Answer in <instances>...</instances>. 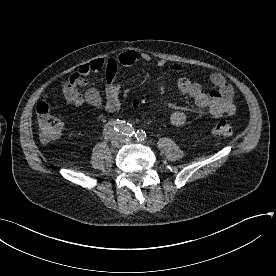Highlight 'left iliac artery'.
<instances>
[{
  "instance_id": "1",
  "label": "left iliac artery",
  "mask_w": 276,
  "mask_h": 276,
  "mask_svg": "<svg viewBox=\"0 0 276 276\" xmlns=\"http://www.w3.org/2000/svg\"><path fill=\"white\" fill-rule=\"evenodd\" d=\"M135 137L138 141H144L146 138V133L143 130H137L135 132Z\"/></svg>"
}]
</instances>
